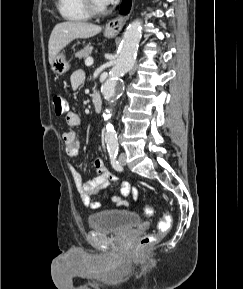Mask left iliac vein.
<instances>
[{"label":"left iliac vein","mask_w":243,"mask_h":289,"mask_svg":"<svg viewBox=\"0 0 243 289\" xmlns=\"http://www.w3.org/2000/svg\"><path fill=\"white\" fill-rule=\"evenodd\" d=\"M119 162L121 166H125L126 165V154L125 153H121L119 156Z\"/></svg>","instance_id":"1"}]
</instances>
